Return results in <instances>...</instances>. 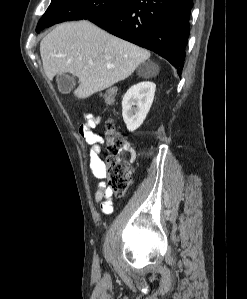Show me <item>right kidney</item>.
Masks as SVG:
<instances>
[{
    "mask_svg": "<svg viewBox=\"0 0 247 299\" xmlns=\"http://www.w3.org/2000/svg\"><path fill=\"white\" fill-rule=\"evenodd\" d=\"M156 85L144 81L129 88L122 100V116L128 131L138 129L152 105Z\"/></svg>",
    "mask_w": 247,
    "mask_h": 299,
    "instance_id": "obj_1",
    "label": "right kidney"
}]
</instances>
